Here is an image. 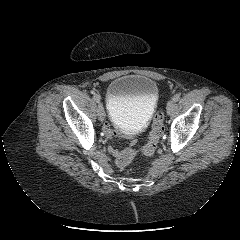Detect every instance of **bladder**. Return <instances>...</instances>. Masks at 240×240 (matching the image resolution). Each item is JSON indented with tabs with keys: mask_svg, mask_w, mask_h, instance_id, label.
Wrapping results in <instances>:
<instances>
[{
	"mask_svg": "<svg viewBox=\"0 0 240 240\" xmlns=\"http://www.w3.org/2000/svg\"><path fill=\"white\" fill-rule=\"evenodd\" d=\"M156 82L143 75H124L108 86L107 106L110 120L119 130L135 134L149 123L157 107Z\"/></svg>",
	"mask_w": 240,
	"mask_h": 240,
	"instance_id": "obj_1",
	"label": "bladder"
}]
</instances>
